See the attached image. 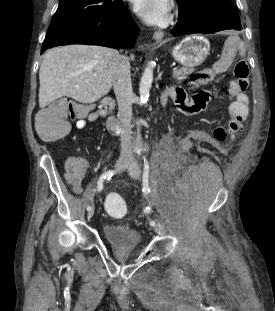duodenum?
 Wrapping results in <instances>:
<instances>
[{
	"label": "duodenum",
	"mask_w": 275,
	"mask_h": 311,
	"mask_svg": "<svg viewBox=\"0 0 275 311\" xmlns=\"http://www.w3.org/2000/svg\"><path fill=\"white\" fill-rule=\"evenodd\" d=\"M165 102L166 100L163 101V103ZM103 107L109 113L106 120L108 131L112 134H118L120 131V121L115 115L112 114L115 110V102L112 99H105L103 101Z\"/></svg>",
	"instance_id": "obj_1"
}]
</instances>
